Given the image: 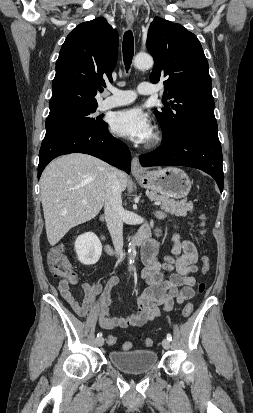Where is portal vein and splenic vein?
Masks as SVG:
<instances>
[{
  "instance_id": "1",
  "label": "portal vein and splenic vein",
  "mask_w": 253,
  "mask_h": 413,
  "mask_svg": "<svg viewBox=\"0 0 253 413\" xmlns=\"http://www.w3.org/2000/svg\"><path fill=\"white\" fill-rule=\"evenodd\" d=\"M83 203H87V201H86V200H83ZM154 204H155V205H159V204H160V202L155 201V202H154Z\"/></svg>"
}]
</instances>
